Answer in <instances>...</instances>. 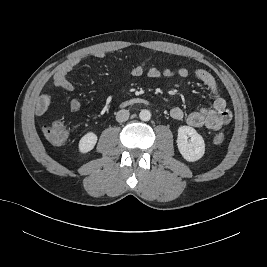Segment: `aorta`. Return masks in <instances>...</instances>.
I'll use <instances>...</instances> for the list:
<instances>
[{
  "label": "aorta",
  "mask_w": 267,
  "mask_h": 267,
  "mask_svg": "<svg viewBox=\"0 0 267 267\" xmlns=\"http://www.w3.org/2000/svg\"><path fill=\"white\" fill-rule=\"evenodd\" d=\"M139 118L142 120V121H149L150 118H151V113L149 110L147 109H143L141 110L140 114H139Z\"/></svg>",
  "instance_id": "762f6f07"
}]
</instances>
